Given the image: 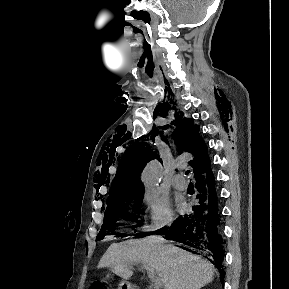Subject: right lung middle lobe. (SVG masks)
Masks as SVG:
<instances>
[{
	"instance_id": "1",
	"label": "right lung middle lobe",
	"mask_w": 289,
	"mask_h": 289,
	"mask_svg": "<svg viewBox=\"0 0 289 289\" xmlns=\"http://www.w3.org/2000/svg\"><path fill=\"white\" fill-rule=\"evenodd\" d=\"M144 194H136L122 201L110 204L104 214V223L97 236L99 239L106 230L112 231L118 218L137 222L138 217L133 213H139Z\"/></svg>"
}]
</instances>
